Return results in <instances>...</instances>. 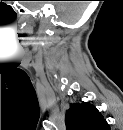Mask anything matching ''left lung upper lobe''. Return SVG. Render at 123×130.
Masks as SVG:
<instances>
[{"mask_svg":"<svg viewBox=\"0 0 123 130\" xmlns=\"http://www.w3.org/2000/svg\"><path fill=\"white\" fill-rule=\"evenodd\" d=\"M67 130H109V125L95 106L87 103L70 105L65 115Z\"/></svg>","mask_w":123,"mask_h":130,"instance_id":"5c2ea615","label":"left lung upper lobe"}]
</instances>
